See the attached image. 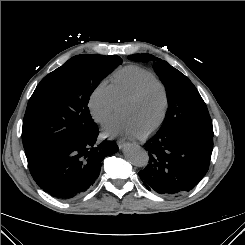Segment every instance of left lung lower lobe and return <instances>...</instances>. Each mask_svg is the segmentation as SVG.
<instances>
[{"mask_svg": "<svg viewBox=\"0 0 245 245\" xmlns=\"http://www.w3.org/2000/svg\"><path fill=\"white\" fill-rule=\"evenodd\" d=\"M149 164L139 176L145 187L159 194L178 196L190 191L206 174L213 149V135L180 127L157 132L144 145Z\"/></svg>", "mask_w": 245, "mask_h": 245, "instance_id": "1", "label": "left lung lower lobe"}]
</instances>
